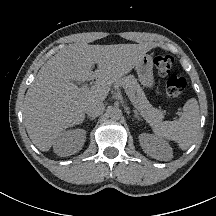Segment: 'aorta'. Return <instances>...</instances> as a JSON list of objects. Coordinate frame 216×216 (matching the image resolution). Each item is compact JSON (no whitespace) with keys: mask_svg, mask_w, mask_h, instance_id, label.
<instances>
[{"mask_svg":"<svg viewBox=\"0 0 216 216\" xmlns=\"http://www.w3.org/2000/svg\"><path fill=\"white\" fill-rule=\"evenodd\" d=\"M109 114L113 120H119L122 117V111L119 108H112Z\"/></svg>","mask_w":216,"mask_h":216,"instance_id":"762f6f07","label":"aorta"}]
</instances>
